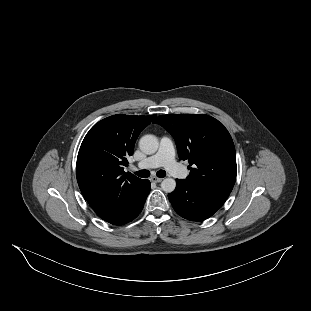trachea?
Here are the masks:
<instances>
[{"label": "trachea", "instance_id": "3493384b", "mask_svg": "<svg viewBox=\"0 0 311 311\" xmlns=\"http://www.w3.org/2000/svg\"><path fill=\"white\" fill-rule=\"evenodd\" d=\"M136 175L141 178H148L150 176V172L148 170H139L136 172ZM157 176L159 178H164L166 176V171L159 170L157 172Z\"/></svg>", "mask_w": 311, "mask_h": 311}]
</instances>
